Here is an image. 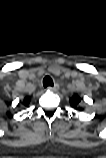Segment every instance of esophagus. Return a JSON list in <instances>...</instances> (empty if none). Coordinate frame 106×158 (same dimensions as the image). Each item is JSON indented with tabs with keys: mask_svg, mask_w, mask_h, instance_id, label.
<instances>
[{
	"mask_svg": "<svg viewBox=\"0 0 106 158\" xmlns=\"http://www.w3.org/2000/svg\"><path fill=\"white\" fill-rule=\"evenodd\" d=\"M48 89L51 91H57L59 89V85L55 83L53 86L48 87Z\"/></svg>",
	"mask_w": 106,
	"mask_h": 158,
	"instance_id": "1",
	"label": "esophagus"
}]
</instances>
